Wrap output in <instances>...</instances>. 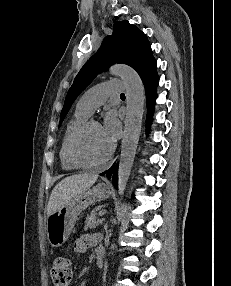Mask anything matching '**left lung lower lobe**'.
I'll return each mask as SVG.
<instances>
[{
    "mask_svg": "<svg viewBox=\"0 0 231 286\" xmlns=\"http://www.w3.org/2000/svg\"><path fill=\"white\" fill-rule=\"evenodd\" d=\"M157 64L155 59L146 64L141 71L138 73L144 83L146 100H147V120L146 124L149 127L152 120V113L156 99V87L158 85V75L156 73ZM107 175L110 179L113 174L112 183L117 188L118 177H117V166L115 164L106 172L101 173L100 175Z\"/></svg>",
    "mask_w": 231,
    "mask_h": 286,
    "instance_id": "1",
    "label": "left lung lower lobe"
}]
</instances>
